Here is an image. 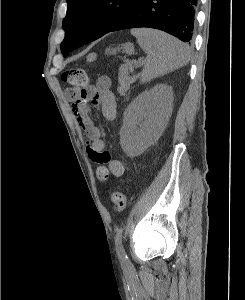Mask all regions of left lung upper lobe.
<instances>
[{
  "instance_id": "obj_1",
  "label": "left lung upper lobe",
  "mask_w": 245,
  "mask_h": 300,
  "mask_svg": "<svg viewBox=\"0 0 245 300\" xmlns=\"http://www.w3.org/2000/svg\"><path fill=\"white\" fill-rule=\"evenodd\" d=\"M136 0H67V13L63 20L65 38L62 54L86 44L96 36L105 35Z\"/></svg>"
}]
</instances>
